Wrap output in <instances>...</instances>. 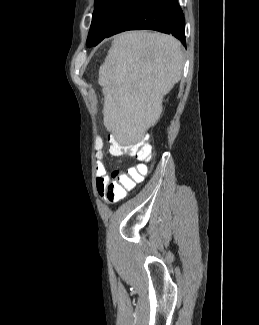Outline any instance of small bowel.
<instances>
[{"label":"small bowel","mask_w":259,"mask_h":325,"mask_svg":"<svg viewBox=\"0 0 259 325\" xmlns=\"http://www.w3.org/2000/svg\"><path fill=\"white\" fill-rule=\"evenodd\" d=\"M98 158L99 160L97 161V164H96V176H97V186H98V189L100 187V184L107 179V174H106V169L102 163V161L100 160L102 158V153H98ZM139 166V165H137ZM137 166H134V167H137Z\"/></svg>","instance_id":"c3829d8e"}]
</instances>
